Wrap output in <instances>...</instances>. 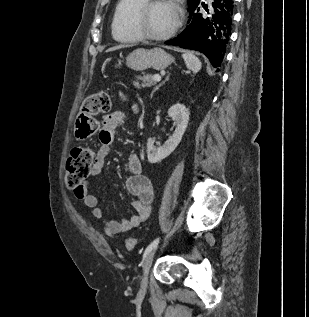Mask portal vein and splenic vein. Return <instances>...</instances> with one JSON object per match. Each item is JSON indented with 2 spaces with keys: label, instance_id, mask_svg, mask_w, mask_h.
Listing matches in <instances>:
<instances>
[{
  "label": "portal vein and splenic vein",
  "instance_id": "1",
  "mask_svg": "<svg viewBox=\"0 0 309 317\" xmlns=\"http://www.w3.org/2000/svg\"><path fill=\"white\" fill-rule=\"evenodd\" d=\"M154 80H155L156 82H160V81H161V76H160V75H155V76H154Z\"/></svg>",
  "mask_w": 309,
  "mask_h": 317
}]
</instances>
